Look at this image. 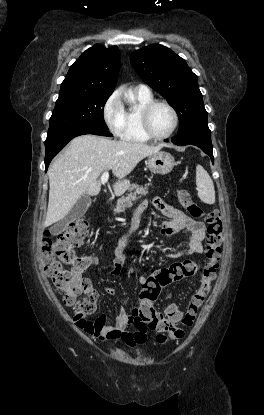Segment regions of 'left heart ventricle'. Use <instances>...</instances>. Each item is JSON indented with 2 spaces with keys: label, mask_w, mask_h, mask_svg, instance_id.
Masks as SVG:
<instances>
[{
  "label": "left heart ventricle",
  "mask_w": 264,
  "mask_h": 415,
  "mask_svg": "<svg viewBox=\"0 0 264 415\" xmlns=\"http://www.w3.org/2000/svg\"><path fill=\"white\" fill-rule=\"evenodd\" d=\"M150 125L155 134H166L173 126L171 111L163 105L156 106L150 114Z\"/></svg>",
  "instance_id": "left-heart-ventricle-1"
}]
</instances>
